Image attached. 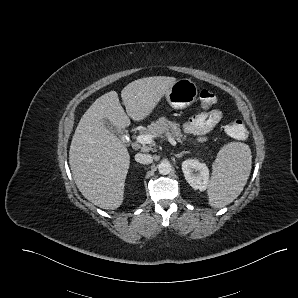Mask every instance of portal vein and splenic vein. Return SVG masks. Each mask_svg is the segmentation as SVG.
I'll list each match as a JSON object with an SVG mask.
<instances>
[{
	"mask_svg": "<svg viewBox=\"0 0 298 298\" xmlns=\"http://www.w3.org/2000/svg\"><path fill=\"white\" fill-rule=\"evenodd\" d=\"M157 136L154 135V134H141V135H138L136 137V141L140 144H151L154 139L156 138ZM167 138V141L172 145V146H176L177 145V141L171 137V136H166Z\"/></svg>",
	"mask_w": 298,
	"mask_h": 298,
	"instance_id": "18ae733b",
	"label": "portal vein and splenic vein"
}]
</instances>
